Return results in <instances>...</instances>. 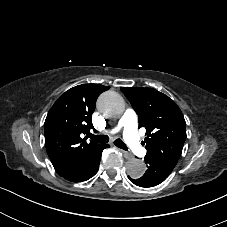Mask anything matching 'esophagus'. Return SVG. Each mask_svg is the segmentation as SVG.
I'll return each instance as SVG.
<instances>
[{"label": "esophagus", "instance_id": "1", "mask_svg": "<svg viewBox=\"0 0 227 227\" xmlns=\"http://www.w3.org/2000/svg\"><path fill=\"white\" fill-rule=\"evenodd\" d=\"M124 156L125 159H132L133 155L130 152L124 151V150H120Z\"/></svg>", "mask_w": 227, "mask_h": 227}]
</instances>
